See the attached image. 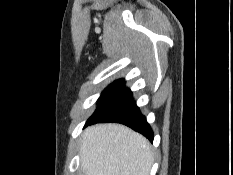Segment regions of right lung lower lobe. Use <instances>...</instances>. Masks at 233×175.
<instances>
[{
	"mask_svg": "<svg viewBox=\"0 0 233 175\" xmlns=\"http://www.w3.org/2000/svg\"><path fill=\"white\" fill-rule=\"evenodd\" d=\"M99 122H116L127 125L143 134L151 142L153 141V131L133 100L130 90H126L96 116L89 118L85 126Z\"/></svg>",
	"mask_w": 233,
	"mask_h": 175,
	"instance_id": "98d812e1",
	"label": "right lung lower lobe"
}]
</instances>
